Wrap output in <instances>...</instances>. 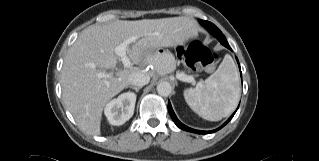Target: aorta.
<instances>
[{
    "instance_id": "1",
    "label": "aorta",
    "mask_w": 319,
    "mask_h": 161,
    "mask_svg": "<svg viewBox=\"0 0 319 161\" xmlns=\"http://www.w3.org/2000/svg\"><path fill=\"white\" fill-rule=\"evenodd\" d=\"M157 92L160 96L167 97L172 92L171 84L167 81L160 82L157 85Z\"/></svg>"
}]
</instances>
